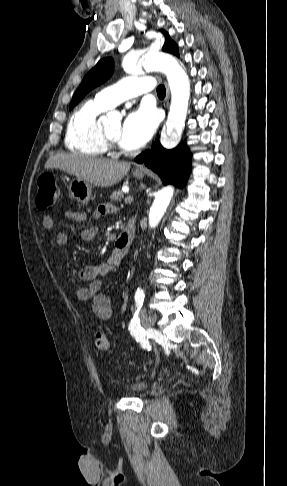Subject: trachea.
<instances>
[{
	"label": "trachea",
	"instance_id": "obj_1",
	"mask_svg": "<svg viewBox=\"0 0 287 486\" xmlns=\"http://www.w3.org/2000/svg\"><path fill=\"white\" fill-rule=\"evenodd\" d=\"M157 95L162 96V97H164L166 95V90H165V87L163 85H159L157 87Z\"/></svg>",
	"mask_w": 287,
	"mask_h": 486
}]
</instances>
